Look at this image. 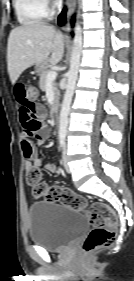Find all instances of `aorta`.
<instances>
[{
    "label": "aorta",
    "instance_id": "1",
    "mask_svg": "<svg viewBox=\"0 0 134 281\" xmlns=\"http://www.w3.org/2000/svg\"><path fill=\"white\" fill-rule=\"evenodd\" d=\"M82 53V29L79 23L76 24L74 30L73 48L71 53L70 69L67 75V85L64 94L60 119H59V136L65 137L68 126V115L70 112V105L74 94V89L78 77V70L80 65Z\"/></svg>",
    "mask_w": 134,
    "mask_h": 281
}]
</instances>
